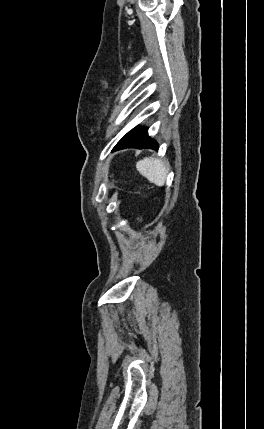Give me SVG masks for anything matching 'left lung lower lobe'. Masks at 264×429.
I'll use <instances>...</instances> for the list:
<instances>
[{
    "label": "left lung lower lobe",
    "instance_id": "1",
    "mask_svg": "<svg viewBox=\"0 0 264 429\" xmlns=\"http://www.w3.org/2000/svg\"><path fill=\"white\" fill-rule=\"evenodd\" d=\"M126 148H151L158 149V144L155 140H152L148 134L147 129L145 128H134L129 133H127L113 148L112 151L126 149Z\"/></svg>",
    "mask_w": 264,
    "mask_h": 429
}]
</instances>
